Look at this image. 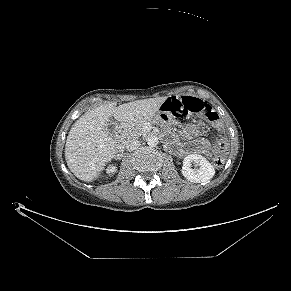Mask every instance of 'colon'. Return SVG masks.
<instances>
[{
	"label": "colon",
	"mask_w": 291,
	"mask_h": 291,
	"mask_svg": "<svg viewBox=\"0 0 291 291\" xmlns=\"http://www.w3.org/2000/svg\"><path fill=\"white\" fill-rule=\"evenodd\" d=\"M163 111L177 117H185L189 115H196L207 119L215 126H219V116L217 112L208 103L192 97H170L163 106ZM217 155L213 161L216 168L224 165L225 156L228 152V143L221 139L216 146Z\"/></svg>",
	"instance_id": "colon-1"
}]
</instances>
